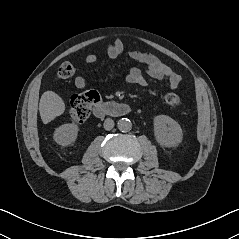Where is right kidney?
Instances as JSON below:
<instances>
[{"instance_id": "ca27d5eb", "label": "right kidney", "mask_w": 239, "mask_h": 239, "mask_svg": "<svg viewBox=\"0 0 239 239\" xmlns=\"http://www.w3.org/2000/svg\"><path fill=\"white\" fill-rule=\"evenodd\" d=\"M78 130V126L74 123L63 124L55 130L54 140L59 145L67 146L76 140Z\"/></svg>"}]
</instances>
